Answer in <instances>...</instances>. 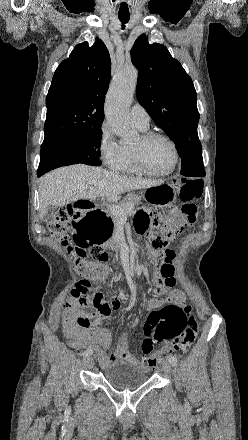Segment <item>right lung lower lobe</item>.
Returning <instances> with one entry per match:
<instances>
[{
  "instance_id": "right-lung-lower-lobe-1",
  "label": "right lung lower lobe",
  "mask_w": 248,
  "mask_h": 440,
  "mask_svg": "<svg viewBox=\"0 0 248 440\" xmlns=\"http://www.w3.org/2000/svg\"><path fill=\"white\" fill-rule=\"evenodd\" d=\"M37 176L39 177V176H41L40 174H37Z\"/></svg>"
}]
</instances>
